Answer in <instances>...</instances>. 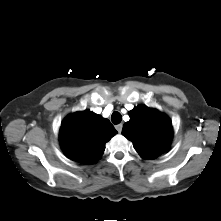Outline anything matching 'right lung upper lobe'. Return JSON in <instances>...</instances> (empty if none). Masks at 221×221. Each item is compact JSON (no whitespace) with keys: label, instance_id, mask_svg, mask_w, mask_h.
Wrapping results in <instances>:
<instances>
[{"label":"right lung upper lobe","instance_id":"1","mask_svg":"<svg viewBox=\"0 0 221 221\" xmlns=\"http://www.w3.org/2000/svg\"><path fill=\"white\" fill-rule=\"evenodd\" d=\"M117 131L108 119L89 110L67 116L60 128L64 153L83 164L95 163L103 154L105 144Z\"/></svg>","mask_w":221,"mask_h":221}]
</instances>
